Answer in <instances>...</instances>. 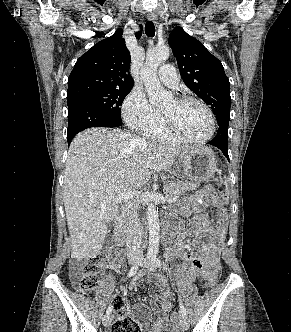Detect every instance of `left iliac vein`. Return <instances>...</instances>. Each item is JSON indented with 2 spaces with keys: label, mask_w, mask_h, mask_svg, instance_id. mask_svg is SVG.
<instances>
[{
  "label": "left iliac vein",
  "mask_w": 291,
  "mask_h": 332,
  "mask_svg": "<svg viewBox=\"0 0 291 332\" xmlns=\"http://www.w3.org/2000/svg\"><path fill=\"white\" fill-rule=\"evenodd\" d=\"M138 264L150 271H155L156 270V266L154 264V262L151 260L150 257L148 258H139L138 259ZM179 324L180 327L184 330H186L189 327V322L188 319L185 315H180L179 318Z\"/></svg>",
  "instance_id": "4c4485c4"
}]
</instances>
